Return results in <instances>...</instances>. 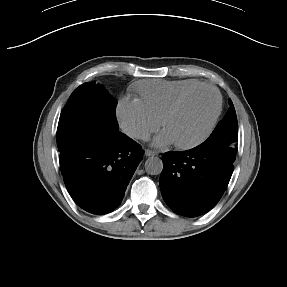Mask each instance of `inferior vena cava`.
Here are the masks:
<instances>
[{
    "label": "inferior vena cava",
    "mask_w": 287,
    "mask_h": 287,
    "mask_svg": "<svg viewBox=\"0 0 287 287\" xmlns=\"http://www.w3.org/2000/svg\"><path fill=\"white\" fill-rule=\"evenodd\" d=\"M125 133L132 138L142 139L148 141L150 139V134L145 130L136 127V126H128L124 129Z\"/></svg>",
    "instance_id": "1"
}]
</instances>
